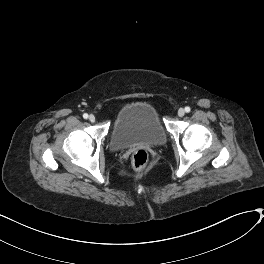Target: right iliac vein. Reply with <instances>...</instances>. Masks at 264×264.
Wrapping results in <instances>:
<instances>
[{"mask_svg": "<svg viewBox=\"0 0 264 264\" xmlns=\"http://www.w3.org/2000/svg\"><path fill=\"white\" fill-rule=\"evenodd\" d=\"M95 120H96V117L94 115H90L89 116V121L90 122H95Z\"/></svg>", "mask_w": 264, "mask_h": 264, "instance_id": "1", "label": "right iliac vein"}]
</instances>
